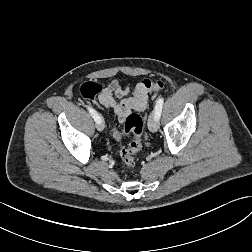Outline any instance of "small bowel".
<instances>
[{"mask_svg": "<svg viewBox=\"0 0 252 252\" xmlns=\"http://www.w3.org/2000/svg\"><path fill=\"white\" fill-rule=\"evenodd\" d=\"M98 101L115 114L119 123H124L133 112L145 110L147 90L142 83L122 88L117 80H112L102 90Z\"/></svg>", "mask_w": 252, "mask_h": 252, "instance_id": "obj_1", "label": "small bowel"}]
</instances>
